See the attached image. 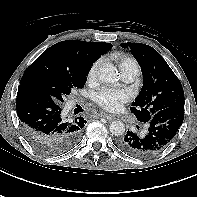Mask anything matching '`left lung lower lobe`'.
I'll return each mask as SVG.
<instances>
[{
	"instance_id": "1",
	"label": "left lung lower lobe",
	"mask_w": 197,
	"mask_h": 197,
	"mask_svg": "<svg viewBox=\"0 0 197 197\" xmlns=\"http://www.w3.org/2000/svg\"><path fill=\"white\" fill-rule=\"evenodd\" d=\"M184 119V107H171L158 111L146 123L144 135L127 131L118 141V146L125 153L148 158L162 151L172 141Z\"/></svg>"
}]
</instances>
